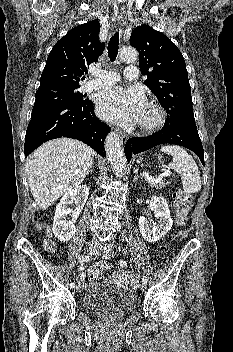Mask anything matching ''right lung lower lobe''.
I'll return each mask as SVG.
<instances>
[{
    "instance_id": "right-lung-lower-lobe-1",
    "label": "right lung lower lobe",
    "mask_w": 233,
    "mask_h": 352,
    "mask_svg": "<svg viewBox=\"0 0 233 352\" xmlns=\"http://www.w3.org/2000/svg\"><path fill=\"white\" fill-rule=\"evenodd\" d=\"M111 128L94 113L89 99L76 104L43 105L34 107L28 125L24 154L28 156L43 142L59 137L80 140L105 157L104 140Z\"/></svg>"
}]
</instances>
